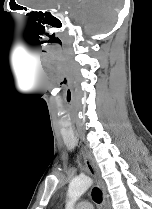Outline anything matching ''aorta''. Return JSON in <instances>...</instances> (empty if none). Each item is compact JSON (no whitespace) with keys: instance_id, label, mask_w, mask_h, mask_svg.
Here are the masks:
<instances>
[{"instance_id":"1","label":"aorta","mask_w":152,"mask_h":209,"mask_svg":"<svg viewBox=\"0 0 152 209\" xmlns=\"http://www.w3.org/2000/svg\"><path fill=\"white\" fill-rule=\"evenodd\" d=\"M93 181L90 177H77L74 178L68 187V201L66 209H74L77 200L91 187Z\"/></svg>"}]
</instances>
